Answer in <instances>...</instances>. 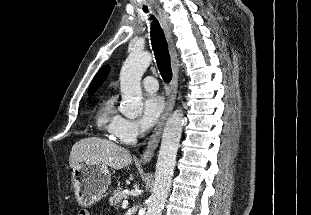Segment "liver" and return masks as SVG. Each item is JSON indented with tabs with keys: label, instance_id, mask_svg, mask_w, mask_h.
Returning a JSON list of instances; mask_svg holds the SVG:
<instances>
[{
	"label": "liver",
	"instance_id": "6515ba94",
	"mask_svg": "<svg viewBox=\"0 0 311 215\" xmlns=\"http://www.w3.org/2000/svg\"><path fill=\"white\" fill-rule=\"evenodd\" d=\"M82 162L102 164L119 170L132 162V156L129 150L111 141L88 137L76 142L69 156V165L72 169Z\"/></svg>",
	"mask_w": 311,
	"mask_h": 215
}]
</instances>
